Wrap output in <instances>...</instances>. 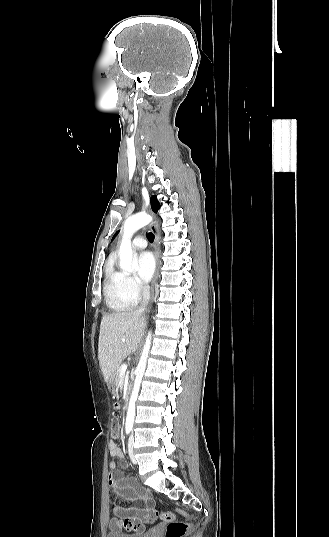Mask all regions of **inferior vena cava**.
<instances>
[{
  "label": "inferior vena cava",
  "instance_id": "obj_1",
  "mask_svg": "<svg viewBox=\"0 0 329 537\" xmlns=\"http://www.w3.org/2000/svg\"><path fill=\"white\" fill-rule=\"evenodd\" d=\"M142 295H143V299H142L140 307L137 310L138 313H142L146 309V307H147V305L149 303V299H150L149 286H144L143 287Z\"/></svg>",
  "mask_w": 329,
  "mask_h": 537
}]
</instances>
